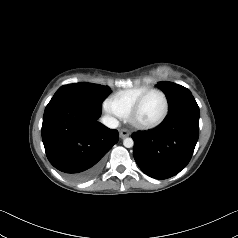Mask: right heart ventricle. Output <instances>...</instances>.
Wrapping results in <instances>:
<instances>
[{"label": "right heart ventricle", "mask_w": 238, "mask_h": 238, "mask_svg": "<svg viewBox=\"0 0 238 238\" xmlns=\"http://www.w3.org/2000/svg\"><path fill=\"white\" fill-rule=\"evenodd\" d=\"M148 88V85L132 86L119 90L110 97V100L121 118H126L128 116L137 98Z\"/></svg>", "instance_id": "1"}]
</instances>
